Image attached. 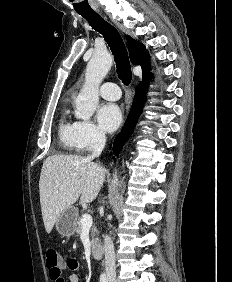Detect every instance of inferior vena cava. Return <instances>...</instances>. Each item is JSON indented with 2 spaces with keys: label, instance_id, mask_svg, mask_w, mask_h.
<instances>
[{
  "label": "inferior vena cava",
  "instance_id": "inferior-vena-cava-1",
  "mask_svg": "<svg viewBox=\"0 0 232 282\" xmlns=\"http://www.w3.org/2000/svg\"><path fill=\"white\" fill-rule=\"evenodd\" d=\"M105 143V133L102 131L98 132L95 138L93 152L87 159L92 161L94 158L99 157L105 147ZM104 253L107 281L114 282L116 278L115 252L113 242L108 235L104 236Z\"/></svg>",
  "mask_w": 232,
  "mask_h": 282
}]
</instances>
